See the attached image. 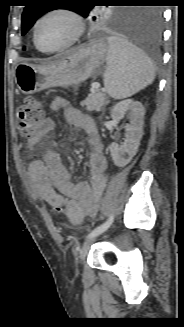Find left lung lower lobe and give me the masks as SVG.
Instances as JSON below:
<instances>
[{"instance_id":"left-lung-lower-lobe-1","label":"left lung lower lobe","mask_w":184,"mask_h":327,"mask_svg":"<svg viewBox=\"0 0 184 327\" xmlns=\"http://www.w3.org/2000/svg\"><path fill=\"white\" fill-rule=\"evenodd\" d=\"M129 28V39L137 48L158 55L162 38V13L159 9H141L138 20Z\"/></svg>"}]
</instances>
